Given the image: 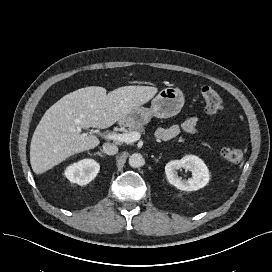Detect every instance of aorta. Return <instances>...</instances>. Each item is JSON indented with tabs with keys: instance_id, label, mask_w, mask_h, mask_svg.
<instances>
[{
	"instance_id": "1",
	"label": "aorta",
	"mask_w": 272,
	"mask_h": 272,
	"mask_svg": "<svg viewBox=\"0 0 272 272\" xmlns=\"http://www.w3.org/2000/svg\"><path fill=\"white\" fill-rule=\"evenodd\" d=\"M128 162L131 167L138 168L144 164V159L140 153H134L129 157Z\"/></svg>"
}]
</instances>
